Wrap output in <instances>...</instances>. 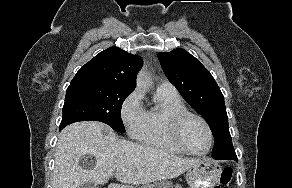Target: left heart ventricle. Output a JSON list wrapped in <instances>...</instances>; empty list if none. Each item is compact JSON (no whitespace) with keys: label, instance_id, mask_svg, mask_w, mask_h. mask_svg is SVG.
Instances as JSON below:
<instances>
[{"label":"left heart ventricle","instance_id":"left-heart-ventricle-1","mask_svg":"<svg viewBox=\"0 0 292 188\" xmlns=\"http://www.w3.org/2000/svg\"><path fill=\"white\" fill-rule=\"evenodd\" d=\"M181 135L186 146L196 152L208 148L209 137L205 126L195 118H189L183 125Z\"/></svg>","mask_w":292,"mask_h":188}]
</instances>
